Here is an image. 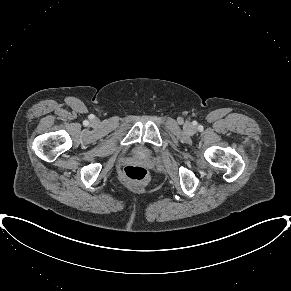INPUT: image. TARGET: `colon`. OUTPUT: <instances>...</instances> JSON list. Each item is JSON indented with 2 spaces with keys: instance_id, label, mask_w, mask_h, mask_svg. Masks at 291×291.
<instances>
[{
  "instance_id": "1",
  "label": "colon",
  "mask_w": 291,
  "mask_h": 291,
  "mask_svg": "<svg viewBox=\"0 0 291 291\" xmlns=\"http://www.w3.org/2000/svg\"><path fill=\"white\" fill-rule=\"evenodd\" d=\"M125 178L132 184H143L147 182L149 173L140 165H127L123 170Z\"/></svg>"
}]
</instances>
